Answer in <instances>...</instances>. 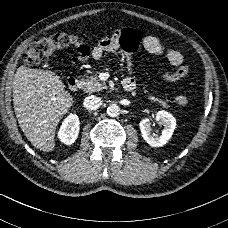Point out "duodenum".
<instances>
[{
  "label": "duodenum",
  "instance_id": "410a0bca",
  "mask_svg": "<svg viewBox=\"0 0 228 228\" xmlns=\"http://www.w3.org/2000/svg\"><path fill=\"white\" fill-rule=\"evenodd\" d=\"M67 84L72 91H79L82 87V80L78 77H70ZM123 86L126 90H132L135 88L136 82L133 78L128 77L123 81Z\"/></svg>",
  "mask_w": 228,
  "mask_h": 228
}]
</instances>
